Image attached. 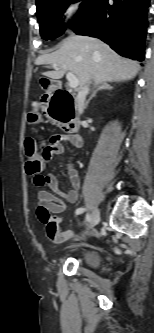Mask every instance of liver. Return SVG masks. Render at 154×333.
<instances>
[{
    "label": "liver",
    "mask_w": 154,
    "mask_h": 333,
    "mask_svg": "<svg viewBox=\"0 0 154 333\" xmlns=\"http://www.w3.org/2000/svg\"><path fill=\"white\" fill-rule=\"evenodd\" d=\"M35 64H56L55 71L43 75L61 79L66 72H72L81 87L91 78L95 85L131 80L139 70L137 62L121 57L102 41L77 35L64 39L57 51L40 55Z\"/></svg>",
    "instance_id": "obj_1"
}]
</instances>
